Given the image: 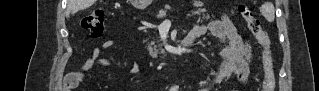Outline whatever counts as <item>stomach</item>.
<instances>
[{
    "label": "stomach",
    "mask_w": 319,
    "mask_h": 91,
    "mask_svg": "<svg viewBox=\"0 0 319 91\" xmlns=\"http://www.w3.org/2000/svg\"><path fill=\"white\" fill-rule=\"evenodd\" d=\"M143 3L142 4H148L150 2V0H140ZM135 2H138L137 0ZM136 4H140V3H136Z\"/></svg>",
    "instance_id": "stomach-1"
}]
</instances>
